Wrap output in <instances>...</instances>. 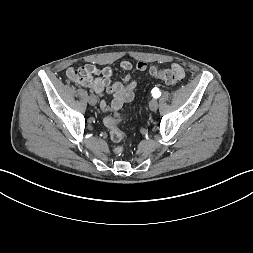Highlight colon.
<instances>
[{"instance_id":"colon-1","label":"colon","mask_w":253,"mask_h":253,"mask_svg":"<svg viewBox=\"0 0 253 253\" xmlns=\"http://www.w3.org/2000/svg\"><path fill=\"white\" fill-rule=\"evenodd\" d=\"M151 75L172 86L180 84L184 78L183 71L177 67L163 69L154 68L151 69ZM120 120V116H109L104 119V125L109 132L110 139L114 142H120L125 137V134L119 128ZM117 151H121V148H118Z\"/></svg>"}]
</instances>
